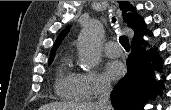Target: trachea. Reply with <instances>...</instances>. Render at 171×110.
<instances>
[{
	"label": "trachea",
	"instance_id": "3493384b",
	"mask_svg": "<svg viewBox=\"0 0 171 110\" xmlns=\"http://www.w3.org/2000/svg\"><path fill=\"white\" fill-rule=\"evenodd\" d=\"M114 23L116 21L115 18H113L112 20ZM119 42L121 43V45L125 48V49H129L130 48V44H129V40L128 37L125 35H122L119 37Z\"/></svg>",
	"mask_w": 171,
	"mask_h": 110
}]
</instances>
